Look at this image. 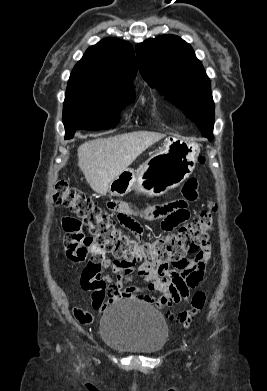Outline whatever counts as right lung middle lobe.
<instances>
[{
    "mask_svg": "<svg viewBox=\"0 0 267 391\" xmlns=\"http://www.w3.org/2000/svg\"><path fill=\"white\" fill-rule=\"evenodd\" d=\"M134 99L135 92L110 90L89 81L68 82L63 108L65 138H72L76 129L116 126L119 112Z\"/></svg>",
    "mask_w": 267,
    "mask_h": 391,
    "instance_id": "1",
    "label": "right lung middle lobe"
}]
</instances>
